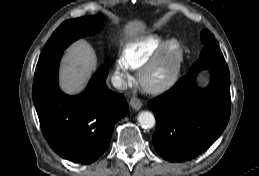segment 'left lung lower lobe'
<instances>
[{
  "mask_svg": "<svg viewBox=\"0 0 259 176\" xmlns=\"http://www.w3.org/2000/svg\"><path fill=\"white\" fill-rule=\"evenodd\" d=\"M211 74L206 89L197 87V73H188L169 91L148 103L156 117L153 145L164 159L171 162L193 159L224 131L230 117L229 71L211 69Z\"/></svg>",
  "mask_w": 259,
  "mask_h": 176,
  "instance_id": "0a47b994",
  "label": "left lung lower lobe"
}]
</instances>
